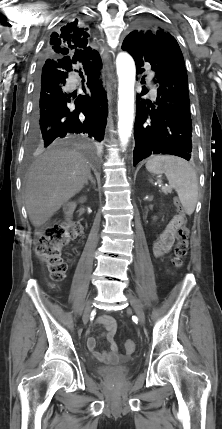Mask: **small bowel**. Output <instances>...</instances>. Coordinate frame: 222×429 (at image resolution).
<instances>
[{"label": "small bowel", "instance_id": "c3829d8e", "mask_svg": "<svg viewBox=\"0 0 222 429\" xmlns=\"http://www.w3.org/2000/svg\"><path fill=\"white\" fill-rule=\"evenodd\" d=\"M180 225L181 220L179 216H174L168 223L164 231L159 235L158 240L154 244V253L156 256H161L170 250L174 243L177 229L180 227ZM97 321L105 329L103 337L109 344L110 349L108 351H99L97 349V338L94 336H90L87 339V347L92 353V355L98 361L107 365H118L121 362H125L126 358L124 356L119 355L118 345L114 339L117 329L115 319L109 315H101L97 319Z\"/></svg>", "mask_w": 222, "mask_h": 429}]
</instances>
